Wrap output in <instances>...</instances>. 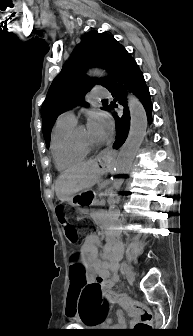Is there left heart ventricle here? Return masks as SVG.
I'll return each instance as SVG.
<instances>
[{
  "label": "left heart ventricle",
  "mask_w": 193,
  "mask_h": 336,
  "mask_svg": "<svg viewBox=\"0 0 193 336\" xmlns=\"http://www.w3.org/2000/svg\"><path fill=\"white\" fill-rule=\"evenodd\" d=\"M76 139L89 144H97V142L90 136L86 128H82L78 131Z\"/></svg>",
  "instance_id": "1"
}]
</instances>
